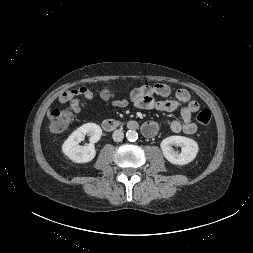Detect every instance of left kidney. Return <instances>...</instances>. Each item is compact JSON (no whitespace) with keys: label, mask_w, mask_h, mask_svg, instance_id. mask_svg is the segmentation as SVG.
I'll use <instances>...</instances> for the list:
<instances>
[{"label":"left kidney","mask_w":253,"mask_h":253,"mask_svg":"<svg viewBox=\"0 0 253 253\" xmlns=\"http://www.w3.org/2000/svg\"><path fill=\"white\" fill-rule=\"evenodd\" d=\"M172 145L181 147V152L173 150ZM161 149L164 157L172 164L185 165L193 161L199 147L195 140L184 136H170L162 140Z\"/></svg>","instance_id":"left-kidney-1"}]
</instances>
